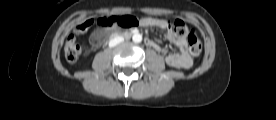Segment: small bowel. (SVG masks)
Masks as SVG:
<instances>
[{
	"instance_id": "1",
	"label": "small bowel",
	"mask_w": 276,
	"mask_h": 120,
	"mask_svg": "<svg viewBox=\"0 0 276 120\" xmlns=\"http://www.w3.org/2000/svg\"><path fill=\"white\" fill-rule=\"evenodd\" d=\"M141 25L146 27H157L165 31V37L170 42L180 48V52H170L166 48H162L157 42L151 39H146V45L164 54L166 63L174 68H189L193 59L188 53V42L184 39L176 38L170 29L169 22L162 19L145 18L141 20ZM103 35L96 31L90 37L91 44L94 47H99L102 44Z\"/></svg>"
}]
</instances>
